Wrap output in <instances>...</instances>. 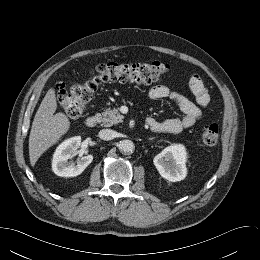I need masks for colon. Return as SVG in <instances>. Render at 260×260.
<instances>
[{
    "label": "colon",
    "instance_id": "5ec220e1",
    "mask_svg": "<svg viewBox=\"0 0 260 260\" xmlns=\"http://www.w3.org/2000/svg\"><path fill=\"white\" fill-rule=\"evenodd\" d=\"M168 71L164 62L148 63H105L96 66L79 84L67 89L65 84L56 86L59 107L71 118H79L92 100L98 87L105 82L119 81L147 85L157 82ZM219 127L210 124L202 133V141L207 146L218 142Z\"/></svg>",
    "mask_w": 260,
    "mask_h": 260
}]
</instances>
